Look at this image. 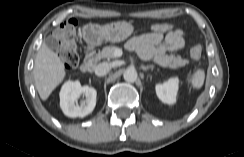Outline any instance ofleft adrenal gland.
<instances>
[{
    "label": "left adrenal gland",
    "mask_w": 244,
    "mask_h": 157,
    "mask_svg": "<svg viewBox=\"0 0 244 157\" xmlns=\"http://www.w3.org/2000/svg\"><path fill=\"white\" fill-rule=\"evenodd\" d=\"M141 68L144 70V71H148L149 69L153 70L154 66L153 65H141Z\"/></svg>",
    "instance_id": "left-adrenal-gland-1"
}]
</instances>
